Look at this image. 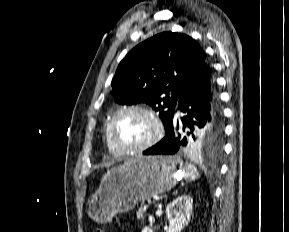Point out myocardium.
I'll return each mask as SVG.
<instances>
[{
    "instance_id": "myocardium-1",
    "label": "myocardium",
    "mask_w": 289,
    "mask_h": 232,
    "mask_svg": "<svg viewBox=\"0 0 289 232\" xmlns=\"http://www.w3.org/2000/svg\"><path fill=\"white\" fill-rule=\"evenodd\" d=\"M131 111L140 112V113L144 114L146 117H148V119L152 123L153 132L146 142H144L140 145H137V146L129 147V146L121 145L116 140L115 134H114V128H115V123L117 121V118L121 114H123L125 112H131ZM108 134H109V138H110L111 143L120 152L126 153V154L141 153V152H144V151L150 149L151 147H153L154 145H156L160 141V139L162 138V135H163V125H162V122H161L160 118L158 117V115L151 108H149L145 105H141V104H131V105H126V106L119 108L113 114V116L111 117V119L109 121Z\"/></svg>"
}]
</instances>
